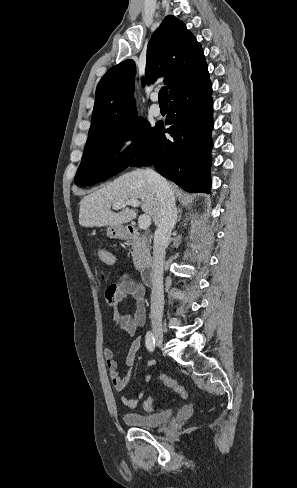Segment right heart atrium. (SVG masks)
I'll return each instance as SVG.
<instances>
[{"instance_id":"obj_1","label":"right heart atrium","mask_w":297,"mask_h":488,"mask_svg":"<svg viewBox=\"0 0 297 488\" xmlns=\"http://www.w3.org/2000/svg\"><path fill=\"white\" fill-rule=\"evenodd\" d=\"M140 141V132L133 126L126 127L119 135L117 141V152L125 155L131 152Z\"/></svg>"}]
</instances>
